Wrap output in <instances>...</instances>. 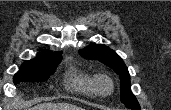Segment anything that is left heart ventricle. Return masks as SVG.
<instances>
[{"mask_svg":"<svg viewBox=\"0 0 171 110\" xmlns=\"http://www.w3.org/2000/svg\"><path fill=\"white\" fill-rule=\"evenodd\" d=\"M102 87L105 91L109 90V85L107 83H103Z\"/></svg>","mask_w":171,"mask_h":110,"instance_id":"left-heart-ventricle-1","label":"left heart ventricle"}]
</instances>
